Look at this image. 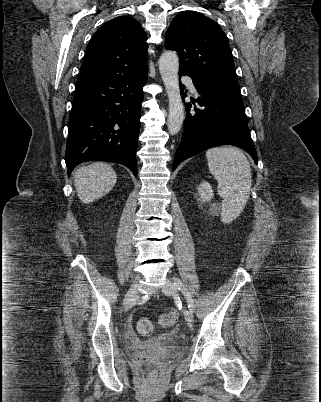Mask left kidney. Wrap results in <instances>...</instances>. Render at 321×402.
Listing matches in <instances>:
<instances>
[{"mask_svg": "<svg viewBox=\"0 0 321 402\" xmlns=\"http://www.w3.org/2000/svg\"><path fill=\"white\" fill-rule=\"evenodd\" d=\"M201 202H207L213 197V189L208 182H203L197 188Z\"/></svg>", "mask_w": 321, "mask_h": 402, "instance_id": "left-kidney-1", "label": "left kidney"}]
</instances>
